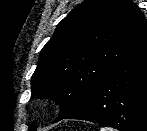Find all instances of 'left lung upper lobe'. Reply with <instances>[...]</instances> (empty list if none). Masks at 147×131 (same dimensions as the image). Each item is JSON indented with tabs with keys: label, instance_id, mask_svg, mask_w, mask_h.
<instances>
[{
	"label": "left lung upper lobe",
	"instance_id": "obj_1",
	"mask_svg": "<svg viewBox=\"0 0 147 131\" xmlns=\"http://www.w3.org/2000/svg\"><path fill=\"white\" fill-rule=\"evenodd\" d=\"M147 42V20L131 0H85L57 26L32 75L31 97L56 100L63 120L102 79Z\"/></svg>",
	"mask_w": 147,
	"mask_h": 131
}]
</instances>
